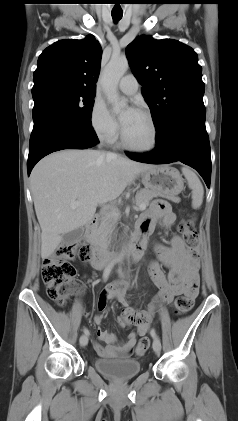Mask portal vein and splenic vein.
Listing matches in <instances>:
<instances>
[{
    "label": "portal vein and splenic vein",
    "mask_w": 238,
    "mask_h": 421,
    "mask_svg": "<svg viewBox=\"0 0 238 421\" xmlns=\"http://www.w3.org/2000/svg\"><path fill=\"white\" fill-rule=\"evenodd\" d=\"M80 205V202H72L71 204H70V207L72 208V209H76L78 206ZM145 206L144 205H140L139 206V210H145ZM113 214L115 215V216H119V213L118 212H116L115 210H113Z\"/></svg>",
    "instance_id": "portal-vein-and-splenic-vein-1"
}]
</instances>
